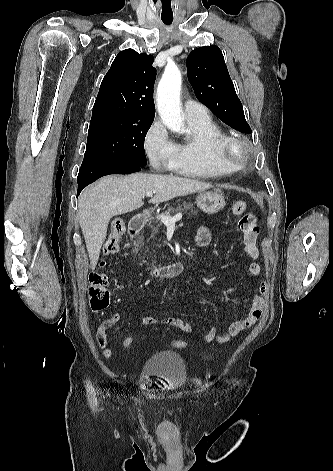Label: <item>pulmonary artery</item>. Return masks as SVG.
<instances>
[{
    "mask_svg": "<svg viewBox=\"0 0 333 471\" xmlns=\"http://www.w3.org/2000/svg\"><path fill=\"white\" fill-rule=\"evenodd\" d=\"M184 111L188 119L200 118L208 114V110L203 104L191 99L185 101Z\"/></svg>",
    "mask_w": 333,
    "mask_h": 471,
    "instance_id": "pulmonary-artery-1",
    "label": "pulmonary artery"
}]
</instances>
